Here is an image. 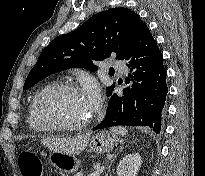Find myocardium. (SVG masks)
<instances>
[{
  "label": "myocardium",
  "mask_w": 205,
  "mask_h": 176,
  "mask_svg": "<svg viewBox=\"0 0 205 176\" xmlns=\"http://www.w3.org/2000/svg\"><path fill=\"white\" fill-rule=\"evenodd\" d=\"M59 91H69V92H79L78 87L71 82H58L52 85H49L43 89L35 98L32 106V117L34 122L44 130H60V131H69L75 132L84 129L89 126L92 122L93 113L91 112L89 116L81 123L76 125L61 124L58 122H47L41 119L40 117V106L42 101L49 95L59 92Z\"/></svg>",
  "instance_id": "f54148a6"
}]
</instances>
